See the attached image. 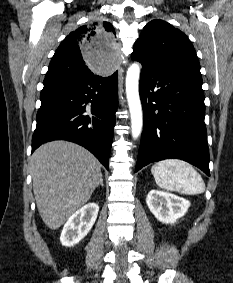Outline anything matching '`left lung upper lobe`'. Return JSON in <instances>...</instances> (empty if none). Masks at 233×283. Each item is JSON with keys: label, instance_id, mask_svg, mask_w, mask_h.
Instances as JSON below:
<instances>
[{"label": "left lung upper lobe", "instance_id": "1", "mask_svg": "<svg viewBox=\"0 0 233 283\" xmlns=\"http://www.w3.org/2000/svg\"><path fill=\"white\" fill-rule=\"evenodd\" d=\"M131 57L153 67H181L200 72L195 49L188 37L163 20H153L144 27Z\"/></svg>", "mask_w": 233, "mask_h": 283}]
</instances>
